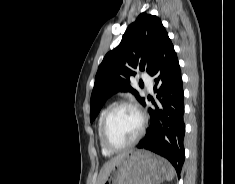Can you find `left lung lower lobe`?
Returning a JSON list of instances; mask_svg holds the SVG:
<instances>
[{"label": "left lung lower lobe", "mask_w": 235, "mask_h": 184, "mask_svg": "<svg viewBox=\"0 0 235 184\" xmlns=\"http://www.w3.org/2000/svg\"><path fill=\"white\" fill-rule=\"evenodd\" d=\"M149 75L154 77L158 103H153L155 109L149 108L150 126L137 148L166 158L180 173L184 163V97L179 62L169 37L160 45Z\"/></svg>", "instance_id": "1"}]
</instances>
